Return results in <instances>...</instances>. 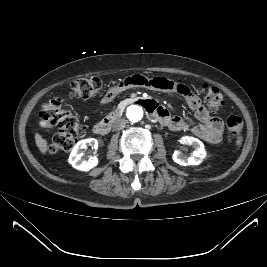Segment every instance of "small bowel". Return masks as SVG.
Wrapping results in <instances>:
<instances>
[{"mask_svg":"<svg viewBox=\"0 0 267 267\" xmlns=\"http://www.w3.org/2000/svg\"><path fill=\"white\" fill-rule=\"evenodd\" d=\"M132 87H146L176 94L185 101L187 106L194 111L199 124L191 126L183 118L171 116L166 109L157 107L158 119L171 130L188 129L197 137L212 144L219 143L222 140L224 132L223 121L219 117L210 114L207 108L203 106L199 96L189 86L178 81L164 77L147 78L141 75L129 76L108 89L102 99V104L108 105L119 93Z\"/></svg>","mask_w":267,"mask_h":267,"instance_id":"1","label":"small bowel"}]
</instances>
